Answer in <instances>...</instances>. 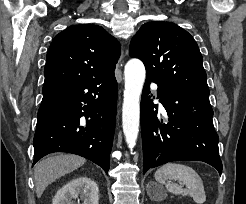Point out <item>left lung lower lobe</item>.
I'll return each mask as SVG.
<instances>
[{
  "instance_id": "0a47b994",
  "label": "left lung lower lobe",
  "mask_w": 246,
  "mask_h": 204,
  "mask_svg": "<svg viewBox=\"0 0 246 204\" xmlns=\"http://www.w3.org/2000/svg\"><path fill=\"white\" fill-rule=\"evenodd\" d=\"M146 79L141 97L143 174L171 161L197 160L222 172L218 135L214 130L209 89L172 83H157L162 115L150 94Z\"/></svg>"
}]
</instances>
